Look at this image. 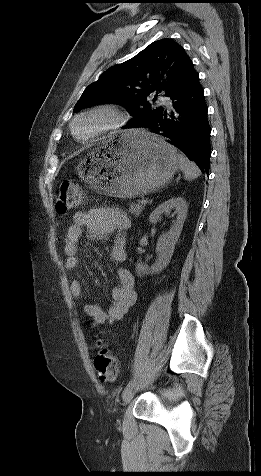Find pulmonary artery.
<instances>
[{"label":"pulmonary artery","mask_w":261,"mask_h":476,"mask_svg":"<svg viewBox=\"0 0 261 476\" xmlns=\"http://www.w3.org/2000/svg\"><path fill=\"white\" fill-rule=\"evenodd\" d=\"M158 103L161 105H165L167 107L171 106V102L167 98H164V97H159Z\"/></svg>","instance_id":"pulmonary-artery-1"}]
</instances>
